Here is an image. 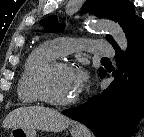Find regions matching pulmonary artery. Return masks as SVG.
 <instances>
[{
  "label": "pulmonary artery",
  "instance_id": "obj_1",
  "mask_svg": "<svg viewBox=\"0 0 144 137\" xmlns=\"http://www.w3.org/2000/svg\"><path fill=\"white\" fill-rule=\"evenodd\" d=\"M52 47L57 56L67 55L78 49H85L95 54L112 56L114 50L111 45L103 40H78L72 38H56Z\"/></svg>",
  "mask_w": 144,
  "mask_h": 137
}]
</instances>
